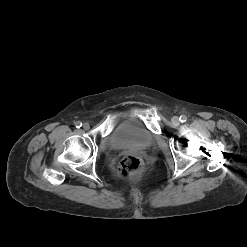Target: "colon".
Masks as SVG:
<instances>
[{"instance_id": "1", "label": "colon", "mask_w": 247, "mask_h": 247, "mask_svg": "<svg viewBox=\"0 0 247 247\" xmlns=\"http://www.w3.org/2000/svg\"><path fill=\"white\" fill-rule=\"evenodd\" d=\"M143 162L140 157L135 155L125 156L119 165L120 174L123 177H129L141 172Z\"/></svg>"}]
</instances>
